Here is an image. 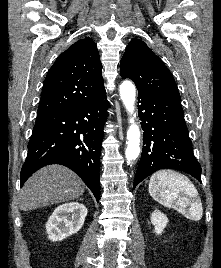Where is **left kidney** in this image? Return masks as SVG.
<instances>
[{
  "label": "left kidney",
  "mask_w": 221,
  "mask_h": 268,
  "mask_svg": "<svg viewBox=\"0 0 221 268\" xmlns=\"http://www.w3.org/2000/svg\"><path fill=\"white\" fill-rule=\"evenodd\" d=\"M151 223L154 225V232L160 235L167 226L168 218L159 210H155L151 215Z\"/></svg>",
  "instance_id": "5707ae66"
}]
</instances>
